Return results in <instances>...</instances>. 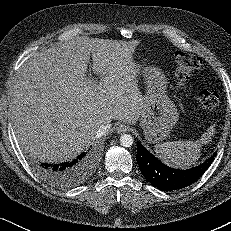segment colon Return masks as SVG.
<instances>
[{
	"instance_id": "1",
	"label": "colon",
	"mask_w": 231,
	"mask_h": 231,
	"mask_svg": "<svg viewBox=\"0 0 231 231\" xmlns=\"http://www.w3.org/2000/svg\"><path fill=\"white\" fill-rule=\"evenodd\" d=\"M201 66V59L192 54L178 53L175 56V72L178 84L184 87L186 81ZM195 102L201 110H212L218 105V96L216 93L208 90H202L195 96Z\"/></svg>"
}]
</instances>
